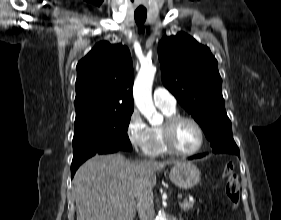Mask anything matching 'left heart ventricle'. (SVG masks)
<instances>
[{
	"label": "left heart ventricle",
	"mask_w": 281,
	"mask_h": 220,
	"mask_svg": "<svg viewBox=\"0 0 281 220\" xmlns=\"http://www.w3.org/2000/svg\"><path fill=\"white\" fill-rule=\"evenodd\" d=\"M176 147L182 151L193 150L199 143V133L196 127L188 122L178 123L173 132Z\"/></svg>",
	"instance_id": "left-heart-ventricle-1"
}]
</instances>
